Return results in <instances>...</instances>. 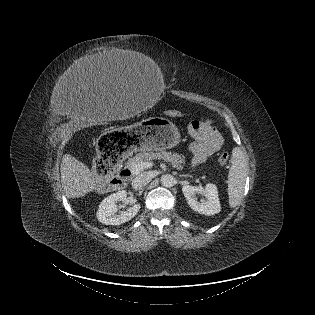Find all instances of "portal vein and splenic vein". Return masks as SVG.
I'll use <instances>...</instances> for the list:
<instances>
[{
	"instance_id": "18ae733b",
	"label": "portal vein and splenic vein",
	"mask_w": 315,
	"mask_h": 315,
	"mask_svg": "<svg viewBox=\"0 0 315 315\" xmlns=\"http://www.w3.org/2000/svg\"><path fill=\"white\" fill-rule=\"evenodd\" d=\"M153 166V162L148 161V162H140L137 163L132 169L131 172L134 175L140 174L145 168H151Z\"/></svg>"
}]
</instances>
